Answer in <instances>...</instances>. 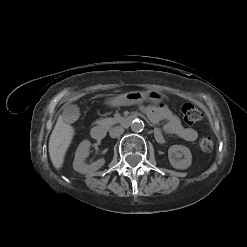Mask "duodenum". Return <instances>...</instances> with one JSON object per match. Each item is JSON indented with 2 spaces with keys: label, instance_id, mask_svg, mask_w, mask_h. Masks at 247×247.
I'll return each mask as SVG.
<instances>
[{
  "label": "duodenum",
  "instance_id": "410a0bca",
  "mask_svg": "<svg viewBox=\"0 0 247 247\" xmlns=\"http://www.w3.org/2000/svg\"><path fill=\"white\" fill-rule=\"evenodd\" d=\"M134 120V117L133 116H128V117H125L121 123L123 126H129L132 121ZM90 134H91V137L94 139V140H102L105 135H106V130L103 126H94L92 127L91 131H90Z\"/></svg>",
  "mask_w": 247,
  "mask_h": 247
}]
</instances>
